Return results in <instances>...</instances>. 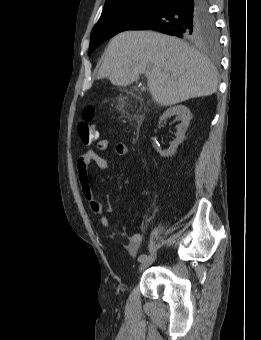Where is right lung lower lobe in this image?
<instances>
[{"instance_id":"98d812e1","label":"right lung lower lobe","mask_w":261,"mask_h":340,"mask_svg":"<svg viewBox=\"0 0 261 340\" xmlns=\"http://www.w3.org/2000/svg\"><path fill=\"white\" fill-rule=\"evenodd\" d=\"M207 13L206 0H161L154 11L130 30H155L182 38L189 23Z\"/></svg>"}]
</instances>
